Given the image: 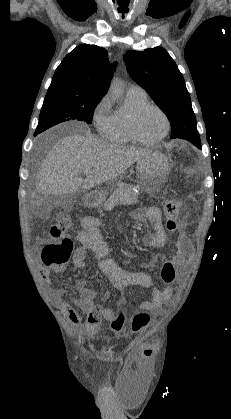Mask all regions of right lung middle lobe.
Instances as JSON below:
<instances>
[{"label":"right lung middle lobe","instance_id":"right-lung-middle-lobe-1","mask_svg":"<svg viewBox=\"0 0 231 419\" xmlns=\"http://www.w3.org/2000/svg\"><path fill=\"white\" fill-rule=\"evenodd\" d=\"M102 97L81 96L67 89L47 91L35 135L69 120L92 123L93 113Z\"/></svg>","mask_w":231,"mask_h":419}]
</instances>
